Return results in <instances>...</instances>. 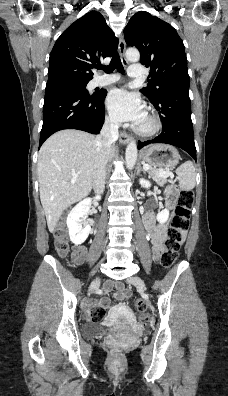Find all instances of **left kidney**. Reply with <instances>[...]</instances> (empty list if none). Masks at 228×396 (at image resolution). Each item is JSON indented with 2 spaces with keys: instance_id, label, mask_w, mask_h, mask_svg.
Instances as JSON below:
<instances>
[{
  "instance_id": "obj_1",
  "label": "left kidney",
  "mask_w": 228,
  "mask_h": 396,
  "mask_svg": "<svg viewBox=\"0 0 228 396\" xmlns=\"http://www.w3.org/2000/svg\"><path fill=\"white\" fill-rule=\"evenodd\" d=\"M139 182H140L142 187L149 188L151 186L150 182L145 180V179H143V178L140 179ZM156 218H157V221L159 223H165L168 220V218H169V210L168 209L162 210L161 212H159L157 214Z\"/></svg>"
}]
</instances>
